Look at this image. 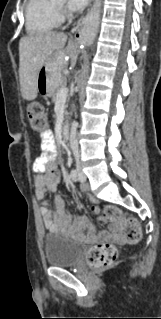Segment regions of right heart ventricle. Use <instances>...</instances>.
I'll list each match as a JSON object with an SVG mask.
<instances>
[{"mask_svg":"<svg viewBox=\"0 0 161 319\" xmlns=\"http://www.w3.org/2000/svg\"><path fill=\"white\" fill-rule=\"evenodd\" d=\"M61 21L59 6L53 0H29L26 6V29L30 35L54 30Z\"/></svg>","mask_w":161,"mask_h":319,"instance_id":"1","label":"right heart ventricle"}]
</instances>
